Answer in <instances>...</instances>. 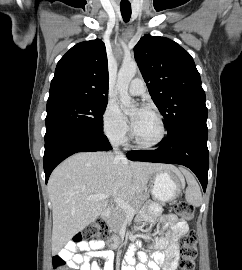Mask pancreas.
Masks as SVG:
<instances>
[{
  "label": "pancreas",
  "instance_id": "cf45deb5",
  "mask_svg": "<svg viewBox=\"0 0 242 270\" xmlns=\"http://www.w3.org/2000/svg\"><path fill=\"white\" fill-rule=\"evenodd\" d=\"M146 199L147 195H143L139 199L129 201V204L133 207L135 213H137L140 210L142 203ZM126 218H127L126 212L122 210L120 207H116L106 221L110 232H114L115 234L118 233L123 223L125 222Z\"/></svg>",
  "mask_w": 242,
  "mask_h": 270
}]
</instances>
